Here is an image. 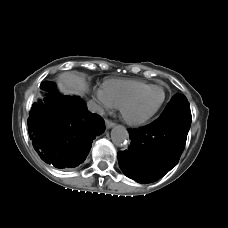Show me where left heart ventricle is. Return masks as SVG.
I'll return each mask as SVG.
<instances>
[{
  "label": "left heart ventricle",
  "instance_id": "1",
  "mask_svg": "<svg viewBox=\"0 0 228 228\" xmlns=\"http://www.w3.org/2000/svg\"><path fill=\"white\" fill-rule=\"evenodd\" d=\"M162 95V91L159 89L147 91L127 106V114L132 118H139L148 114L159 104Z\"/></svg>",
  "mask_w": 228,
  "mask_h": 228
}]
</instances>
